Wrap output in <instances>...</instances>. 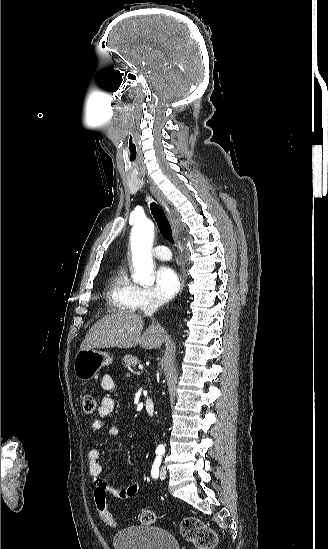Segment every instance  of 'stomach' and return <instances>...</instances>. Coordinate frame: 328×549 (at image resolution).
Returning <instances> with one entry per match:
<instances>
[{"instance_id":"stomach-1","label":"stomach","mask_w":328,"mask_h":549,"mask_svg":"<svg viewBox=\"0 0 328 549\" xmlns=\"http://www.w3.org/2000/svg\"><path fill=\"white\" fill-rule=\"evenodd\" d=\"M112 357L95 349H81L74 361V373L80 381H90L102 367L111 365Z\"/></svg>"}]
</instances>
